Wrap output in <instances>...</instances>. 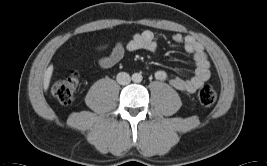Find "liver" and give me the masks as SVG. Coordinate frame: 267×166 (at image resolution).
<instances>
[{
	"mask_svg": "<svg viewBox=\"0 0 267 166\" xmlns=\"http://www.w3.org/2000/svg\"><path fill=\"white\" fill-rule=\"evenodd\" d=\"M53 73V65H50L45 73H44V77H43V88L45 91H47V89L49 88V84H50V79Z\"/></svg>",
	"mask_w": 267,
	"mask_h": 166,
	"instance_id": "liver-1",
	"label": "liver"
}]
</instances>
